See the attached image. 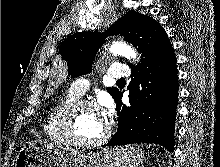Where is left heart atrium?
<instances>
[{
    "instance_id": "39dd6f15",
    "label": "left heart atrium",
    "mask_w": 220,
    "mask_h": 167,
    "mask_svg": "<svg viewBox=\"0 0 220 167\" xmlns=\"http://www.w3.org/2000/svg\"><path fill=\"white\" fill-rule=\"evenodd\" d=\"M103 108L99 111V114L102 118V120L107 123L108 119L111 118L113 114V107L112 104L108 101L102 102Z\"/></svg>"
}]
</instances>
